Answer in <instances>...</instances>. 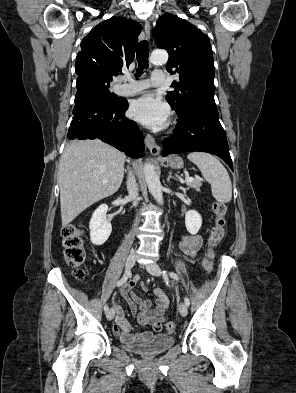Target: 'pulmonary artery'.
I'll list each match as a JSON object with an SVG mask.
<instances>
[{
    "instance_id": "obj_1",
    "label": "pulmonary artery",
    "mask_w": 296,
    "mask_h": 393,
    "mask_svg": "<svg viewBox=\"0 0 296 393\" xmlns=\"http://www.w3.org/2000/svg\"><path fill=\"white\" fill-rule=\"evenodd\" d=\"M166 82V75L163 71H154L150 79L134 80L129 75H125L116 86V92L120 95H134L149 87L162 85Z\"/></svg>"
}]
</instances>
